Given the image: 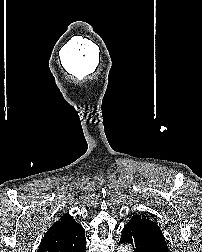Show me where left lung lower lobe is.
Listing matches in <instances>:
<instances>
[{"mask_svg": "<svg viewBox=\"0 0 202 252\" xmlns=\"http://www.w3.org/2000/svg\"><path fill=\"white\" fill-rule=\"evenodd\" d=\"M119 243L131 244L134 252H169L159 232L135 221L124 226Z\"/></svg>", "mask_w": 202, "mask_h": 252, "instance_id": "1", "label": "left lung lower lobe"}]
</instances>
